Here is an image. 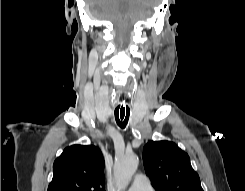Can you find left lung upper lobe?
<instances>
[{
	"instance_id": "1",
	"label": "left lung upper lobe",
	"mask_w": 245,
	"mask_h": 191,
	"mask_svg": "<svg viewBox=\"0 0 245 191\" xmlns=\"http://www.w3.org/2000/svg\"><path fill=\"white\" fill-rule=\"evenodd\" d=\"M143 162L157 191H203L188 154L173 142L147 143L143 148Z\"/></svg>"
}]
</instances>
